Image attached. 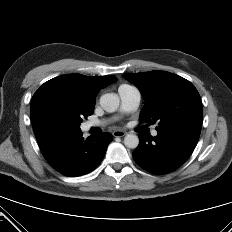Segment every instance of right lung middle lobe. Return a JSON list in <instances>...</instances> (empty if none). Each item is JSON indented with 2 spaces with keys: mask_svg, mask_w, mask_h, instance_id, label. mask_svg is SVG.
Returning a JSON list of instances; mask_svg holds the SVG:
<instances>
[{
  "mask_svg": "<svg viewBox=\"0 0 232 232\" xmlns=\"http://www.w3.org/2000/svg\"><path fill=\"white\" fill-rule=\"evenodd\" d=\"M93 113L79 98L69 90L47 92L38 100L34 119L42 133L53 131H78L83 117Z\"/></svg>",
  "mask_w": 232,
  "mask_h": 232,
  "instance_id": "1",
  "label": "right lung middle lobe"
}]
</instances>
